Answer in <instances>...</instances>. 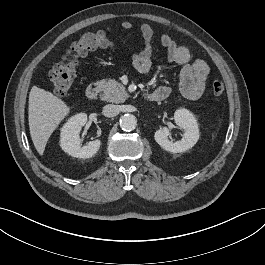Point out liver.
Masks as SVG:
<instances>
[{
	"mask_svg": "<svg viewBox=\"0 0 265 265\" xmlns=\"http://www.w3.org/2000/svg\"><path fill=\"white\" fill-rule=\"evenodd\" d=\"M69 111L67 104L51 92L32 87L28 107L29 130L40 155H43L48 139Z\"/></svg>",
	"mask_w": 265,
	"mask_h": 265,
	"instance_id": "liver-1",
	"label": "liver"
}]
</instances>
